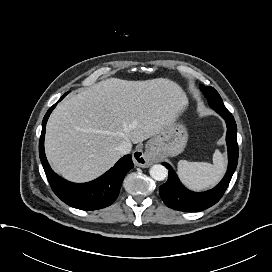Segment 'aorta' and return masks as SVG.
I'll use <instances>...</instances> for the list:
<instances>
[{
    "instance_id": "1",
    "label": "aorta",
    "mask_w": 272,
    "mask_h": 272,
    "mask_svg": "<svg viewBox=\"0 0 272 272\" xmlns=\"http://www.w3.org/2000/svg\"><path fill=\"white\" fill-rule=\"evenodd\" d=\"M150 176L157 180V181H163L168 176V170L166 167L160 164H155L150 168Z\"/></svg>"
}]
</instances>
